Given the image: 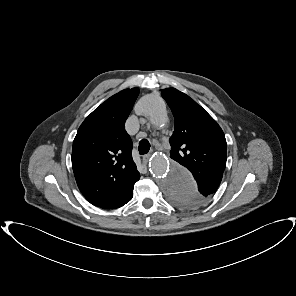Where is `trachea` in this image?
Masks as SVG:
<instances>
[{"label":"trachea","mask_w":296,"mask_h":296,"mask_svg":"<svg viewBox=\"0 0 296 296\" xmlns=\"http://www.w3.org/2000/svg\"><path fill=\"white\" fill-rule=\"evenodd\" d=\"M138 150H139V154L140 155H144L147 154L150 150V143L147 139H142L139 142V146H138Z\"/></svg>","instance_id":"1"}]
</instances>
